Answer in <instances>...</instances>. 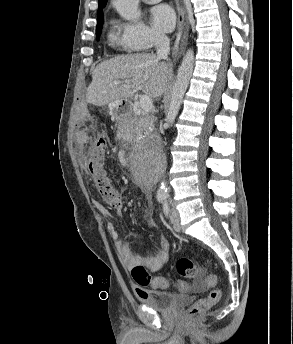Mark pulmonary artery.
Segmentation results:
<instances>
[{"label":"pulmonary artery","instance_id":"e3ab8cb5","mask_svg":"<svg viewBox=\"0 0 293 344\" xmlns=\"http://www.w3.org/2000/svg\"><path fill=\"white\" fill-rule=\"evenodd\" d=\"M145 3H147V4H154V3H157V2H159V1H161V0H143Z\"/></svg>","mask_w":293,"mask_h":344}]
</instances>
